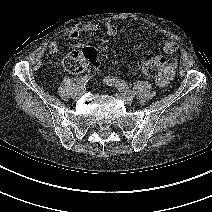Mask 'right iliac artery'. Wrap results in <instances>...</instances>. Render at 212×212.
<instances>
[{
  "label": "right iliac artery",
  "instance_id": "1",
  "mask_svg": "<svg viewBox=\"0 0 212 212\" xmlns=\"http://www.w3.org/2000/svg\"><path fill=\"white\" fill-rule=\"evenodd\" d=\"M91 79V76L90 75H85L84 77L82 78H78L76 80V83L77 85L75 86L74 88V91L71 93V96L74 98L75 94L81 90L85 85L86 83Z\"/></svg>",
  "mask_w": 212,
  "mask_h": 212
}]
</instances>
